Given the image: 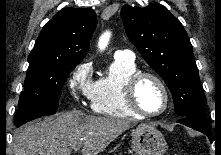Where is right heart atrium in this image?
I'll list each match as a JSON object with an SVG mask.
<instances>
[{"label":"right heart atrium","instance_id":"d8ad5b80","mask_svg":"<svg viewBox=\"0 0 221 155\" xmlns=\"http://www.w3.org/2000/svg\"><path fill=\"white\" fill-rule=\"evenodd\" d=\"M92 63L85 61L74 68L70 73L67 85L70 93L78 102L91 100L93 81H92Z\"/></svg>","mask_w":221,"mask_h":155}]
</instances>
